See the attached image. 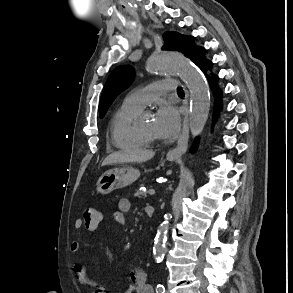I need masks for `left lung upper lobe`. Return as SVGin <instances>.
I'll return each mask as SVG.
<instances>
[{
	"mask_svg": "<svg viewBox=\"0 0 293 293\" xmlns=\"http://www.w3.org/2000/svg\"><path fill=\"white\" fill-rule=\"evenodd\" d=\"M163 38L165 40L163 49L182 52L191 60L194 59L201 48L194 45L192 37L176 32H165ZM133 78L134 69L130 66H119L111 72L101 95L99 104L100 117H103L114 98L131 84Z\"/></svg>",
	"mask_w": 293,
	"mask_h": 293,
	"instance_id": "1",
	"label": "left lung upper lobe"
}]
</instances>
